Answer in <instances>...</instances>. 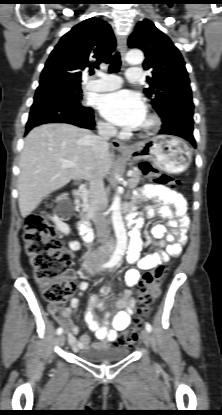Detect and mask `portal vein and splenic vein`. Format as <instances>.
<instances>
[{
	"mask_svg": "<svg viewBox=\"0 0 222 415\" xmlns=\"http://www.w3.org/2000/svg\"><path fill=\"white\" fill-rule=\"evenodd\" d=\"M62 167L63 168H72L75 167L76 164L73 161H69V160H62ZM133 175V171H128L127 176L131 177Z\"/></svg>",
	"mask_w": 222,
	"mask_h": 415,
	"instance_id": "portal-vein-and-splenic-vein-1",
	"label": "portal vein and splenic vein"
}]
</instances>
